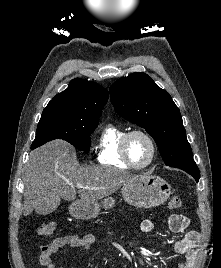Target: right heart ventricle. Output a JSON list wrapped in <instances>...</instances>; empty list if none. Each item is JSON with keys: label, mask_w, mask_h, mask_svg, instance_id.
<instances>
[{"label": "right heart ventricle", "mask_w": 221, "mask_h": 268, "mask_svg": "<svg viewBox=\"0 0 221 268\" xmlns=\"http://www.w3.org/2000/svg\"><path fill=\"white\" fill-rule=\"evenodd\" d=\"M126 132L125 128L114 124H109L102 130L97 146L99 163L121 169L129 168L120 151L121 139Z\"/></svg>", "instance_id": "e07e8e85"}]
</instances>
